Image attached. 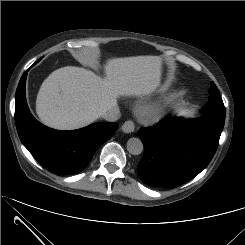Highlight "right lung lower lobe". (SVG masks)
<instances>
[{
    "label": "right lung lower lobe",
    "mask_w": 245,
    "mask_h": 245,
    "mask_svg": "<svg viewBox=\"0 0 245 245\" xmlns=\"http://www.w3.org/2000/svg\"><path fill=\"white\" fill-rule=\"evenodd\" d=\"M26 76L27 72L19 82L15 98L16 128L23 145L52 173L69 175L80 172L98 147L113 136L118 124L94 123L72 131H59L41 124L27 106Z\"/></svg>",
    "instance_id": "right-lung-lower-lobe-1"
}]
</instances>
